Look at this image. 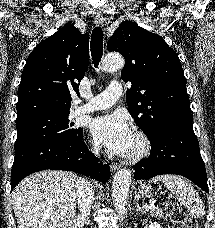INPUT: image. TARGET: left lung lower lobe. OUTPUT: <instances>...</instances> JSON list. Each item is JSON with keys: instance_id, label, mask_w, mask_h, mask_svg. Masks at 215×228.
Returning <instances> with one entry per match:
<instances>
[{"instance_id": "left-lung-lower-lobe-1", "label": "left lung lower lobe", "mask_w": 215, "mask_h": 228, "mask_svg": "<svg viewBox=\"0 0 215 228\" xmlns=\"http://www.w3.org/2000/svg\"><path fill=\"white\" fill-rule=\"evenodd\" d=\"M150 143V156L133 166L134 179L177 174L190 179L208 193L205 165L192 123L163 128Z\"/></svg>"}]
</instances>
